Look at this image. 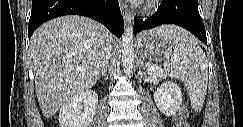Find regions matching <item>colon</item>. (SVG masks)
<instances>
[{
	"mask_svg": "<svg viewBox=\"0 0 243 127\" xmlns=\"http://www.w3.org/2000/svg\"><path fill=\"white\" fill-rule=\"evenodd\" d=\"M186 115H187L186 110H182V112L178 115L176 120L177 127H188V123L185 121Z\"/></svg>",
	"mask_w": 243,
	"mask_h": 127,
	"instance_id": "1",
	"label": "colon"
}]
</instances>
